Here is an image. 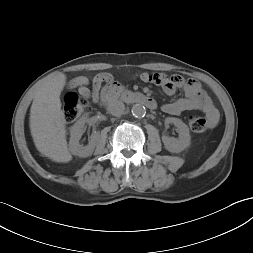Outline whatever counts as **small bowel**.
I'll return each instance as SVG.
<instances>
[{"mask_svg":"<svg viewBox=\"0 0 253 253\" xmlns=\"http://www.w3.org/2000/svg\"><path fill=\"white\" fill-rule=\"evenodd\" d=\"M139 78L144 82H154L160 85L163 91L170 96L174 95L179 89L184 91L185 96L183 98L162 105V110L165 113L179 115L185 111L197 110L205 114L209 122V128H213L216 125L219 119V112L197 80L186 79L180 75L153 74L149 72L140 73ZM112 80L113 77L110 74L101 73L91 79L86 76L75 77L70 81L69 85L71 88H77L83 97L91 99L94 103H99L103 84Z\"/></svg>","mask_w":253,"mask_h":253,"instance_id":"obj_1","label":"small bowel"}]
</instances>
